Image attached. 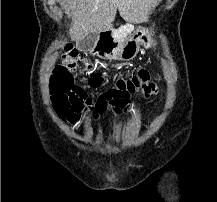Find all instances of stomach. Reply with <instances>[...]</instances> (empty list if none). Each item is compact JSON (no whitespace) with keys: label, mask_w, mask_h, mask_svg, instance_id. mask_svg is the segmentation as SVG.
<instances>
[{"label":"stomach","mask_w":217,"mask_h":202,"mask_svg":"<svg viewBox=\"0 0 217 202\" xmlns=\"http://www.w3.org/2000/svg\"><path fill=\"white\" fill-rule=\"evenodd\" d=\"M152 44L153 38L149 30L139 26L131 36L124 38L123 42H121L118 50V58L125 60V62H127V60H133V58L137 56L140 46H144V48L148 50V48H152Z\"/></svg>","instance_id":"1"}]
</instances>
